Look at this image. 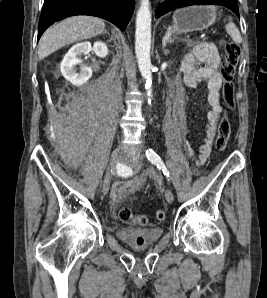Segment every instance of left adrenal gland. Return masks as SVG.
<instances>
[{"mask_svg":"<svg viewBox=\"0 0 267 298\" xmlns=\"http://www.w3.org/2000/svg\"><path fill=\"white\" fill-rule=\"evenodd\" d=\"M175 40H180V39L177 38L176 36L172 35L171 31L168 30L162 39V46H163V51H164L165 55H167L169 53L168 50L164 49L166 47L167 43H173ZM190 43H192V42L189 41V44Z\"/></svg>","mask_w":267,"mask_h":298,"instance_id":"a2214340","label":"left adrenal gland"}]
</instances>
